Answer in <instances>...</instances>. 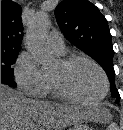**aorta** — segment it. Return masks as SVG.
I'll return each instance as SVG.
<instances>
[{"mask_svg": "<svg viewBox=\"0 0 123 130\" xmlns=\"http://www.w3.org/2000/svg\"><path fill=\"white\" fill-rule=\"evenodd\" d=\"M49 24L48 13L45 11H39L30 22L25 36L27 49L44 67L52 65L54 62V57L46 42Z\"/></svg>", "mask_w": 123, "mask_h": 130, "instance_id": "762f6f07", "label": "aorta"}]
</instances>
